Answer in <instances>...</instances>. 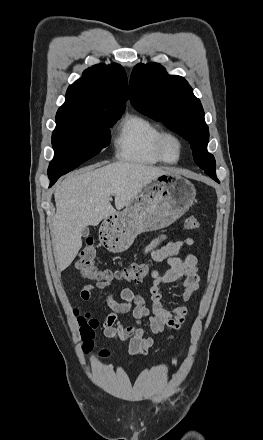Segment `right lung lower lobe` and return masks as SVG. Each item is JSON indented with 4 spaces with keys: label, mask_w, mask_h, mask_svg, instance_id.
Instances as JSON below:
<instances>
[{
    "label": "right lung lower lobe",
    "mask_w": 263,
    "mask_h": 440,
    "mask_svg": "<svg viewBox=\"0 0 263 440\" xmlns=\"http://www.w3.org/2000/svg\"><path fill=\"white\" fill-rule=\"evenodd\" d=\"M56 181H57V180H53V181H51L50 186H52Z\"/></svg>",
    "instance_id": "98d812e1"
}]
</instances>
